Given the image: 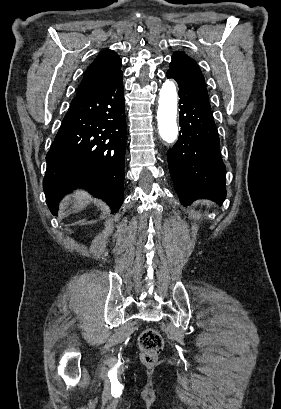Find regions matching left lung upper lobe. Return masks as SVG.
Here are the masks:
<instances>
[{
	"label": "left lung upper lobe",
	"mask_w": 281,
	"mask_h": 409,
	"mask_svg": "<svg viewBox=\"0 0 281 409\" xmlns=\"http://www.w3.org/2000/svg\"><path fill=\"white\" fill-rule=\"evenodd\" d=\"M175 78L192 87L203 96L208 98L204 77L197 63L182 52H175L172 55V62L168 70Z\"/></svg>",
	"instance_id": "obj_1"
}]
</instances>
